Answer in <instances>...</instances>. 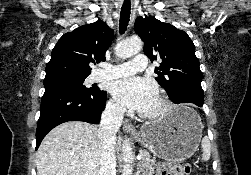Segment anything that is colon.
<instances>
[{
  "instance_id": "5ec220e1",
  "label": "colon",
  "mask_w": 251,
  "mask_h": 175,
  "mask_svg": "<svg viewBox=\"0 0 251 175\" xmlns=\"http://www.w3.org/2000/svg\"><path fill=\"white\" fill-rule=\"evenodd\" d=\"M193 167L181 160H166L157 164V175H190Z\"/></svg>"
}]
</instances>
